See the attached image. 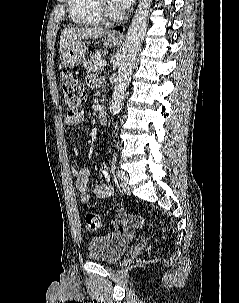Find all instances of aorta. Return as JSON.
<instances>
[{
    "mask_svg": "<svg viewBox=\"0 0 239 303\" xmlns=\"http://www.w3.org/2000/svg\"><path fill=\"white\" fill-rule=\"evenodd\" d=\"M150 9L151 0H140L127 31L122 53L118 61L117 79L109 108L113 116L117 115L122 109L124 93L130 83L136 55L140 50L147 31Z\"/></svg>",
    "mask_w": 239,
    "mask_h": 303,
    "instance_id": "obj_1",
    "label": "aorta"
}]
</instances>
